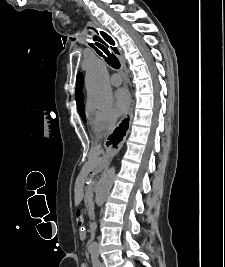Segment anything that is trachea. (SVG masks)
<instances>
[{"label": "trachea", "mask_w": 225, "mask_h": 267, "mask_svg": "<svg viewBox=\"0 0 225 267\" xmlns=\"http://www.w3.org/2000/svg\"><path fill=\"white\" fill-rule=\"evenodd\" d=\"M105 35L107 36L105 40L108 43L114 45L113 39L109 35L107 34ZM90 45L95 49V51L100 56H102L105 59V61L109 64V66L116 68V69L120 68V62L118 58L108 50V45L98 35L93 36V40ZM112 49L115 51V53H117L116 48H112Z\"/></svg>", "instance_id": "obj_1"}]
</instances>
